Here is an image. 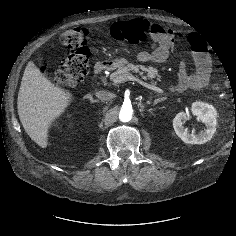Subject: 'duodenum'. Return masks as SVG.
Instances as JSON below:
<instances>
[{
	"label": "duodenum",
	"instance_id": "duodenum-1",
	"mask_svg": "<svg viewBox=\"0 0 236 236\" xmlns=\"http://www.w3.org/2000/svg\"><path fill=\"white\" fill-rule=\"evenodd\" d=\"M112 66L110 61H100L93 68V75L96 77Z\"/></svg>",
	"mask_w": 236,
	"mask_h": 236
}]
</instances>
